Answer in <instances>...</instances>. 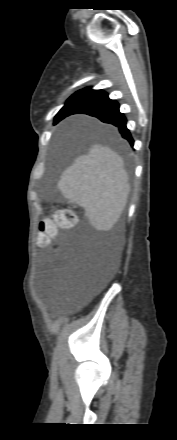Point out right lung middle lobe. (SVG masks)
<instances>
[{"mask_svg":"<svg viewBox=\"0 0 177 440\" xmlns=\"http://www.w3.org/2000/svg\"><path fill=\"white\" fill-rule=\"evenodd\" d=\"M95 100L93 98L84 97L78 94H74L67 101L65 106L58 112L55 119L57 118H65L71 114H74L81 110L82 108L94 103Z\"/></svg>","mask_w":177,"mask_h":440,"instance_id":"1","label":"right lung middle lobe"}]
</instances>
